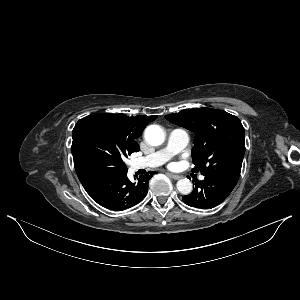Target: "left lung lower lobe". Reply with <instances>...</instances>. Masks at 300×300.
<instances>
[{
    "instance_id": "obj_1",
    "label": "left lung lower lobe",
    "mask_w": 300,
    "mask_h": 300,
    "mask_svg": "<svg viewBox=\"0 0 300 300\" xmlns=\"http://www.w3.org/2000/svg\"><path fill=\"white\" fill-rule=\"evenodd\" d=\"M235 185L236 183L219 176H205L203 181L196 182L192 193L183 196L182 200L195 208H214L228 197Z\"/></svg>"
}]
</instances>
